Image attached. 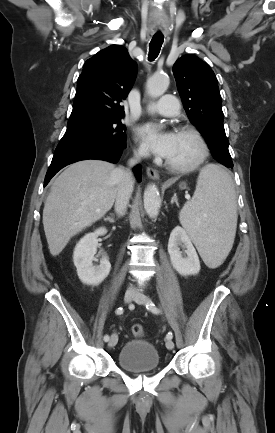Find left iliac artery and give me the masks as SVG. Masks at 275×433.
<instances>
[{"label":"left iliac artery","instance_id":"1","mask_svg":"<svg viewBox=\"0 0 275 433\" xmlns=\"http://www.w3.org/2000/svg\"><path fill=\"white\" fill-rule=\"evenodd\" d=\"M146 308H147V310H149L155 314H158L160 312L159 309L155 306V304L151 300L147 301ZM166 338L172 339L173 338L172 332H168V334L166 335Z\"/></svg>","mask_w":275,"mask_h":433}]
</instances>
